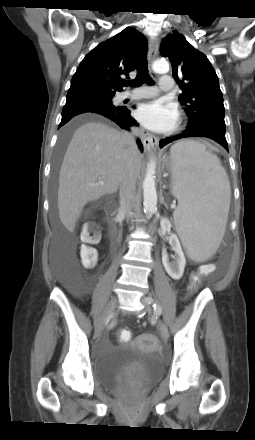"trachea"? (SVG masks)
<instances>
[{"mask_svg":"<svg viewBox=\"0 0 255 440\" xmlns=\"http://www.w3.org/2000/svg\"><path fill=\"white\" fill-rule=\"evenodd\" d=\"M143 83H147L149 85L153 84V81H152V79H151V77L149 76V73H148V63H147L146 56H142L138 60L137 76H136L135 80H132L130 82H128V81L123 82V85L124 86L130 85V86H133V87H139Z\"/></svg>","mask_w":255,"mask_h":440,"instance_id":"1","label":"trachea"}]
</instances>
